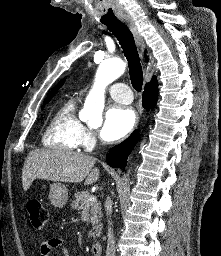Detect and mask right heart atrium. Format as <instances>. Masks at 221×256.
Returning a JSON list of instances; mask_svg holds the SVG:
<instances>
[{
	"instance_id": "obj_1",
	"label": "right heart atrium",
	"mask_w": 221,
	"mask_h": 256,
	"mask_svg": "<svg viewBox=\"0 0 221 256\" xmlns=\"http://www.w3.org/2000/svg\"><path fill=\"white\" fill-rule=\"evenodd\" d=\"M78 141L79 145L87 149L92 147L95 143V136L93 131L82 125L79 131Z\"/></svg>"
}]
</instances>
